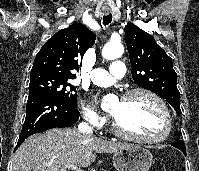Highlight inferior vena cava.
<instances>
[{
	"mask_svg": "<svg viewBox=\"0 0 199 171\" xmlns=\"http://www.w3.org/2000/svg\"><path fill=\"white\" fill-rule=\"evenodd\" d=\"M78 130L82 133H85V134L91 135L93 133L92 128L85 122H82L78 125Z\"/></svg>",
	"mask_w": 199,
	"mask_h": 171,
	"instance_id": "1",
	"label": "inferior vena cava"
}]
</instances>
